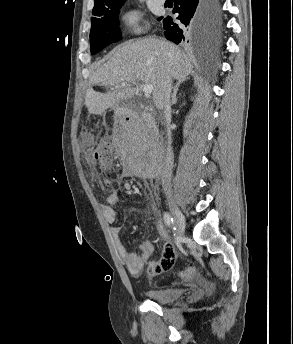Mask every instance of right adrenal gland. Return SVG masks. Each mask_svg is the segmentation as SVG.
Masks as SVG:
<instances>
[{
	"label": "right adrenal gland",
	"mask_w": 293,
	"mask_h": 344,
	"mask_svg": "<svg viewBox=\"0 0 293 344\" xmlns=\"http://www.w3.org/2000/svg\"><path fill=\"white\" fill-rule=\"evenodd\" d=\"M181 84H182V82L178 81L173 88L172 105L177 103V96L176 95H177L178 88L180 87Z\"/></svg>",
	"instance_id": "right-adrenal-gland-1"
}]
</instances>
